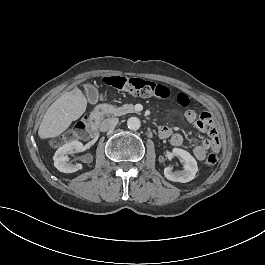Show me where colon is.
Wrapping results in <instances>:
<instances>
[{"label":"colon","mask_w":265,"mask_h":265,"mask_svg":"<svg viewBox=\"0 0 265 265\" xmlns=\"http://www.w3.org/2000/svg\"><path fill=\"white\" fill-rule=\"evenodd\" d=\"M105 85L118 91L128 93L136 97H156L158 99H168L175 97L177 103L188 110H193V102L184 93H174L173 90L163 83H157L151 80L136 76L108 75L103 79ZM67 138H72V132L66 134ZM55 141L60 144L61 138L57 137ZM218 161L216 153H210L206 156L205 162L208 165H214Z\"/></svg>","instance_id":"colon-1"}]
</instances>
